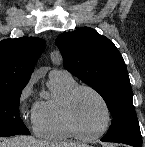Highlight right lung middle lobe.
Wrapping results in <instances>:
<instances>
[{
	"label": "right lung middle lobe",
	"instance_id": "obj_1",
	"mask_svg": "<svg viewBox=\"0 0 145 147\" xmlns=\"http://www.w3.org/2000/svg\"><path fill=\"white\" fill-rule=\"evenodd\" d=\"M24 87L0 92V137L17 134L30 135L19 116L20 96Z\"/></svg>",
	"mask_w": 145,
	"mask_h": 147
}]
</instances>
